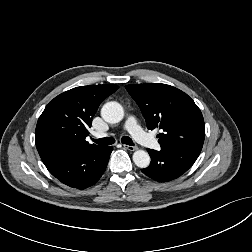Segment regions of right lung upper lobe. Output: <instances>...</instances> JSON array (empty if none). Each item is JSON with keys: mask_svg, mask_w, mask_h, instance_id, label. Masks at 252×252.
<instances>
[{"mask_svg": "<svg viewBox=\"0 0 252 252\" xmlns=\"http://www.w3.org/2000/svg\"><path fill=\"white\" fill-rule=\"evenodd\" d=\"M119 87L115 84L80 86L55 97L38 119L35 139L44 162L76 149H99L85 138L101 102Z\"/></svg>", "mask_w": 252, "mask_h": 252, "instance_id": "cb5924a9", "label": "right lung upper lobe"}]
</instances>
